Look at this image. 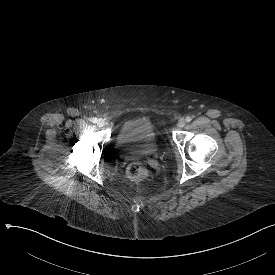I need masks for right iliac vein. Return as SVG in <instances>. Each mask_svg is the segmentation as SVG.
I'll list each match as a JSON object with an SVG mask.
<instances>
[{
    "instance_id": "right-iliac-vein-1",
    "label": "right iliac vein",
    "mask_w": 275,
    "mask_h": 275,
    "mask_svg": "<svg viewBox=\"0 0 275 275\" xmlns=\"http://www.w3.org/2000/svg\"><path fill=\"white\" fill-rule=\"evenodd\" d=\"M100 127H102L104 125V120L100 119L97 123Z\"/></svg>"
}]
</instances>
